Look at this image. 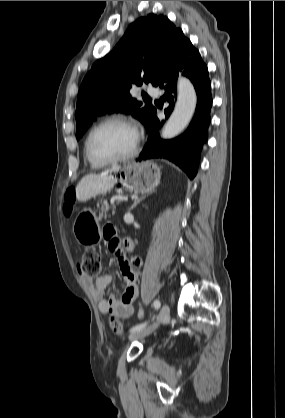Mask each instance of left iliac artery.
<instances>
[{"label":"left iliac artery","instance_id":"44dca946","mask_svg":"<svg viewBox=\"0 0 285 418\" xmlns=\"http://www.w3.org/2000/svg\"><path fill=\"white\" fill-rule=\"evenodd\" d=\"M153 306H154V308H155L156 310H158V309L160 308V306H161L160 301H159L158 299H155V300L153 301ZM146 325H147V322L142 323V324H138V325H136V326L132 327V328L130 329V331H131V332H135V331L141 330V329H143Z\"/></svg>","mask_w":285,"mask_h":418}]
</instances>
